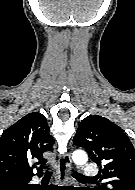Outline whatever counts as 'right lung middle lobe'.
<instances>
[{
  "label": "right lung middle lobe",
  "instance_id": "obj_1",
  "mask_svg": "<svg viewBox=\"0 0 135 190\" xmlns=\"http://www.w3.org/2000/svg\"><path fill=\"white\" fill-rule=\"evenodd\" d=\"M25 187V184L22 183V181L17 180H10V181H3L0 182V189L1 190H16V189H22Z\"/></svg>",
  "mask_w": 135,
  "mask_h": 190
}]
</instances>
